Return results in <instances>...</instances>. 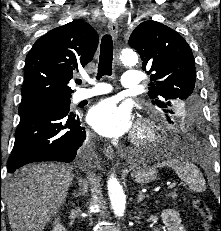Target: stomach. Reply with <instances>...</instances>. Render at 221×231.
<instances>
[{
	"mask_svg": "<svg viewBox=\"0 0 221 231\" xmlns=\"http://www.w3.org/2000/svg\"><path fill=\"white\" fill-rule=\"evenodd\" d=\"M133 180L139 184H148L157 178V171L147 166L136 168L131 174Z\"/></svg>",
	"mask_w": 221,
	"mask_h": 231,
	"instance_id": "1",
	"label": "stomach"
}]
</instances>
